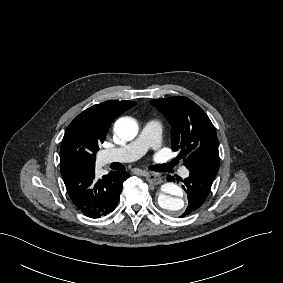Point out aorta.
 <instances>
[{"mask_svg": "<svg viewBox=\"0 0 283 283\" xmlns=\"http://www.w3.org/2000/svg\"><path fill=\"white\" fill-rule=\"evenodd\" d=\"M138 124L131 117H121L114 124L115 134L125 141L134 139L138 133ZM182 189L172 182L162 185L161 193L158 195L159 206L172 215L182 213L185 203L182 199Z\"/></svg>", "mask_w": 283, "mask_h": 283, "instance_id": "762f6f07", "label": "aorta"}]
</instances>
